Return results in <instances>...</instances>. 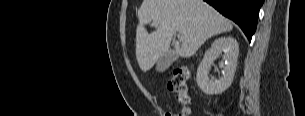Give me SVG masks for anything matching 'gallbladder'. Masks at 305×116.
Listing matches in <instances>:
<instances>
[{
	"mask_svg": "<svg viewBox=\"0 0 305 116\" xmlns=\"http://www.w3.org/2000/svg\"><path fill=\"white\" fill-rule=\"evenodd\" d=\"M177 59V53L174 49H169L162 57L159 58L156 64V70L164 72Z\"/></svg>",
	"mask_w": 305,
	"mask_h": 116,
	"instance_id": "bac80fb5",
	"label": "gallbladder"
}]
</instances>
